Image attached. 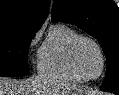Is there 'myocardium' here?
<instances>
[{
    "mask_svg": "<svg viewBox=\"0 0 119 95\" xmlns=\"http://www.w3.org/2000/svg\"><path fill=\"white\" fill-rule=\"evenodd\" d=\"M83 42H89V43L93 44L96 47V49L98 50L99 54H100L101 69H100L99 73L96 76H87V75H85L80 70V68L77 64V50ZM69 64H70L72 70L75 72V74L78 75L81 79L87 80V81L96 80V79L100 78L102 76V74L104 73V70H105V67H106V57H105V53H104L101 45L95 39H93L91 37L80 35L79 37H77L73 41V43L70 46V49H69Z\"/></svg>",
    "mask_w": 119,
    "mask_h": 95,
    "instance_id": "obj_1",
    "label": "myocardium"
}]
</instances>
